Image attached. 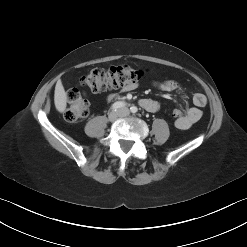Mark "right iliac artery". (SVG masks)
I'll return each instance as SVG.
<instances>
[{"label": "right iliac artery", "mask_w": 247, "mask_h": 247, "mask_svg": "<svg viewBox=\"0 0 247 247\" xmlns=\"http://www.w3.org/2000/svg\"><path fill=\"white\" fill-rule=\"evenodd\" d=\"M125 105H126V104H125L124 102H121V101L115 102V103L111 106V109L116 111L117 109L122 108V107H124Z\"/></svg>", "instance_id": "right-iliac-artery-1"}]
</instances>
